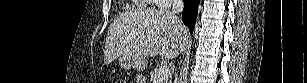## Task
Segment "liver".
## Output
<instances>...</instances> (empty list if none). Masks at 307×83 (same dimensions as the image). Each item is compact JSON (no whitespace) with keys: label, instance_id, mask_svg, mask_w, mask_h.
I'll return each mask as SVG.
<instances>
[{"label":"liver","instance_id":"obj_1","mask_svg":"<svg viewBox=\"0 0 307 83\" xmlns=\"http://www.w3.org/2000/svg\"><path fill=\"white\" fill-rule=\"evenodd\" d=\"M188 29L167 10H136L113 21L107 33L104 62L119 56L137 60L160 55L173 59L188 47Z\"/></svg>","mask_w":307,"mask_h":83}]
</instances>
